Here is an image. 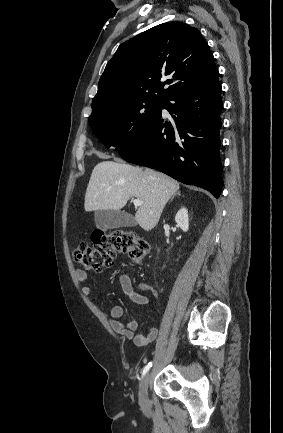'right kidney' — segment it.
<instances>
[{"instance_id":"1","label":"right kidney","mask_w":283,"mask_h":433,"mask_svg":"<svg viewBox=\"0 0 283 433\" xmlns=\"http://www.w3.org/2000/svg\"><path fill=\"white\" fill-rule=\"evenodd\" d=\"M175 221L177 225L186 232L189 228L188 210L186 208H181L175 216Z\"/></svg>"}]
</instances>
